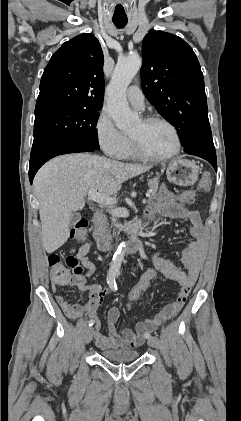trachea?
Instances as JSON below:
<instances>
[{"instance_id":"trachea-1","label":"trachea","mask_w":241,"mask_h":421,"mask_svg":"<svg viewBox=\"0 0 241 421\" xmlns=\"http://www.w3.org/2000/svg\"><path fill=\"white\" fill-rule=\"evenodd\" d=\"M112 21L118 28H123L127 24V19H113Z\"/></svg>"}]
</instances>
